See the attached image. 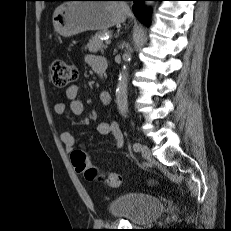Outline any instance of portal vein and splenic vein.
Instances as JSON below:
<instances>
[{"mask_svg":"<svg viewBox=\"0 0 231 231\" xmlns=\"http://www.w3.org/2000/svg\"><path fill=\"white\" fill-rule=\"evenodd\" d=\"M105 43H106V45H109V44L111 43V40H110V39H107V40L105 41Z\"/></svg>","mask_w":231,"mask_h":231,"instance_id":"portal-vein-and-splenic-vein-1","label":"portal vein and splenic vein"}]
</instances>
